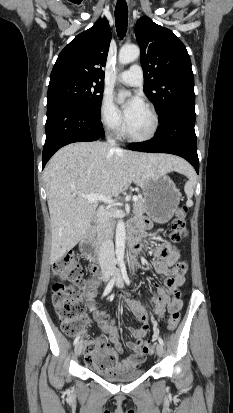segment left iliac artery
Here are the masks:
<instances>
[{
    "label": "left iliac artery",
    "instance_id": "44dca946",
    "mask_svg": "<svg viewBox=\"0 0 233 413\" xmlns=\"http://www.w3.org/2000/svg\"><path fill=\"white\" fill-rule=\"evenodd\" d=\"M121 273L123 276L124 281L126 282L127 285H130V280L129 277L127 275V271H126V267L125 265H121ZM158 337V336H157ZM158 341L159 343L163 346L164 345V341L162 338L158 337Z\"/></svg>",
    "mask_w": 233,
    "mask_h": 413
}]
</instances>
